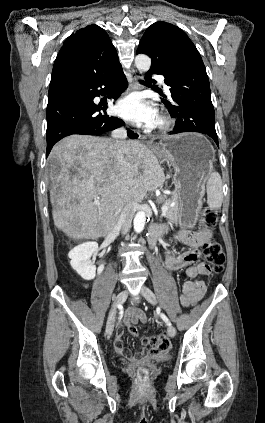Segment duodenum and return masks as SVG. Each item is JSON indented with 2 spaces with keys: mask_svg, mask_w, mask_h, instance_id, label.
Instances as JSON below:
<instances>
[{
  "mask_svg": "<svg viewBox=\"0 0 265 423\" xmlns=\"http://www.w3.org/2000/svg\"><path fill=\"white\" fill-rule=\"evenodd\" d=\"M163 234V231L157 227H152L149 230V244L152 249L156 248L159 238Z\"/></svg>",
  "mask_w": 265,
  "mask_h": 423,
  "instance_id": "410a0bca",
  "label": "duodenum"
}]
</instances>
